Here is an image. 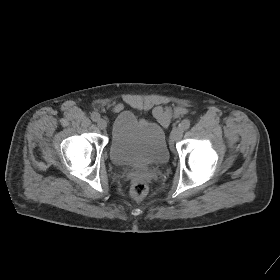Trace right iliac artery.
I'll use <instances>...</instances> for the list:
<instances>
[{
    "mask_svg": "<svg viewBox=\"0 0 280 280\" xmlns=\"http://www.w3.org/2000/svg\"><path fill=\"white\" fill-rule=\"evenodd\" d=\"M91 119L93 120V121H98L99 119H100V114L99 113H97V112H93L92 114H91Z\"/></svg>",
    "mask_w": 280,
    "mask_h": 280,
    "instance_id": "right-iliac-artery-1",
    "label": "right iliac artery"
}]
</instances>
